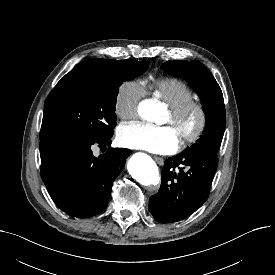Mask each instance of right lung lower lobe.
I'll return each instance as SVG.
<instances>
[{"label": "right lung lower lobe", "instance_id": "right-lung-lower-lobe-1", "mask_svg": "<svg viewBox=\"0 0 275 275\" xmlns=\"http://www.w3.org/2000/svg\"><path fill=\"white\" fill-rule=\"evenodd\" d=\"M110 144L111 137L41 149L42 180L54 203L68 215L91 217L107 207L112 184L132 153L129 149L109 147L104 154L93 155V145Z\"/></svg>", "mask_w": 275, "mask_h": 275}]
</instances>
